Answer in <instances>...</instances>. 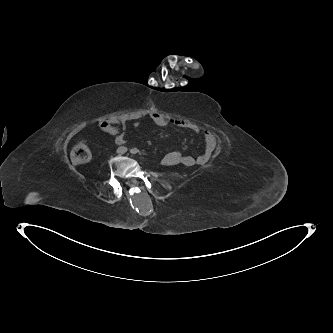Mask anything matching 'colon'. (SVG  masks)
<instances>
[{
  "label": "colon",
  "instance_id": "obj_1",
  "mask_svg": "<svg viewBox=\"0 0 333 333\" xmlns=\"http://www.w3.org/2000/svg\"><path fill=\"white\" fill-rule=\"evenodd\" d=\"M182 153L178 150L168 153L161 157L162 163H167L170 160L182 158ZM71 161L74 164H84L91 160L92 154L90 149L84 144H77L71 151Z\"/></svg>",
  "mask_w": 333,
  "mask_h": 333
}]
</instances>
